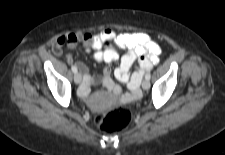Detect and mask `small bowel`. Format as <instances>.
<instances>
[{
  "label": "small bowel",
  "instance_id": "c3829d8e",
  "mask_svg": "<svg viewBox=\"0 0 225 155\" xmlns=\"http://www.w3.org/2000/svg\"><path fill=\"white\" fill-rule=\"evenodd\" d=\"M79 42L84 45L87 52L93 51L92 59L97 63H111L120 59V65L114 75L118 81L128 86V91L123 92L112 81L111 70L108 67L104 68L100 75L93 77L84 63L77 62L76 65L83 74V83L79 89L80 96L88 98L92 84L94 81H98L115 100L121 103H128L139 98L141 77L145 71L150 70L158 62L161 52L159 45L146 33L118 34L111 29H104L97 34L75 32L63 35L53 44L52 51L59 56L64 46L72 48ZM111 43H114L119 49L126 50V53L120 57ZM67 60L72 62V56L67 55ZM135 63L136 71L131 73L130 70ZM110 102L111 98H105L102 101L103 104Z\"/></svg>",
  "mask_w": 225,
  "mask_h": 155
}]
</instances>
